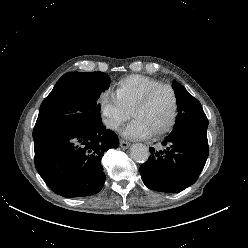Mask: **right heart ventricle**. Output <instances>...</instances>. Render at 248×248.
<instances>
[{
	"label": "right heart ventricle",
	"instance_id": "right-heart-ventricle-1",
	"mask_svg": "<svg viewBox=\"0 0 248 248\" xmlns=\"http://www.w3.org/2000/svg\"><path fill=\"white\" fill-rule=\"evenodd\" d=\"M160 81L138 74L129 75L116 84L114 94L121 105L130 112L132 106Z\"/></svg>",
	"mask_w": 248,
	"mask_h": 248
}]
</instances>
